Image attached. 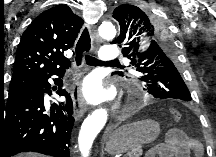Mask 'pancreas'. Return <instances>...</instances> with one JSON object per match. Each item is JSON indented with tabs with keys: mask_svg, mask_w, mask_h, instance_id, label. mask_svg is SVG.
<instances>
[{
	"mask_svg": "<svg viewBox=\"0 0 216 157\" xmlns=\"http://www.w3.org/2000/svg\"><path fill=\"white\" fill-rule=\"evenodd\" d=\"M142 155V149L136 148L130 152H128L127 157H140Z\"/></svg>",
	"mask_w": 216,
	"mask_h": 157,
	"instance_id": "obj_1",
	"label": "pancreas"
}]
</instances>
